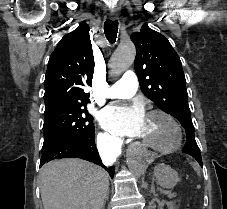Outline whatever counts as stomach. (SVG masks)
<instances>
[{"mask_svg": "<svg viewBox=\"0 0 227 209\" xmlns=\"http://www.w3.org/2000/svg\"><path fill=\"white\" fill-rule=\"evenodd\" d=\"M157 183L166 189H172L179 181L178 173L165 164L157 165L154 169Z\"/></svg>", "mask_w": 227, "mask_h": 209, "instance_id": "1", "label": "stomach"}]
</instances>
